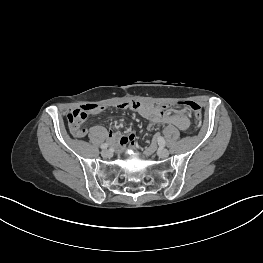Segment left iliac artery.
I'll list each match as a JSON object with an SVG mask.
<instances>
[{
	"mask_svg": "<svg viewBox=\"0 0 263 263\" xmlns=\"http://www.w3.org/2000/svg\"><path fill=\"white\" fill-rule=\"evenodd\" d=\"M158 144H159V146L162 147V148L166 146V142H165V140H164L163 137H159V138H158Z\"/></svg>",
	"mask_w": 263,
	"mask_h": 263,
	"instance_id": "obj_1",
	"label": "left iliac artery"
}]
</instances>
